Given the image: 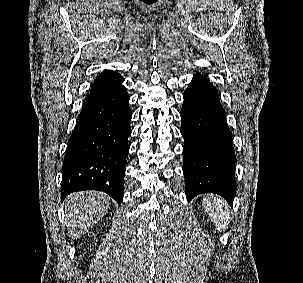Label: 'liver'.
Returning a JSON list of instances; mask_svg holds the SVG:
<instances>
[{
  "label": "liver",
  "mask_w": 303,
  "mask_h": 283,
  "mask_svg": "<svg viewBox=\"0 0 303 283\" xmlns=\"http://www.w3.org/2000/svg\"><path fill=\"white\" fill-rule=\"evenodd\" d=\"M64 206L69 237L78 239L107 213L109 201L102 192L86 191L67 196Z\"/></svg>",
  "instance_id": "1"
}]
</instances>
